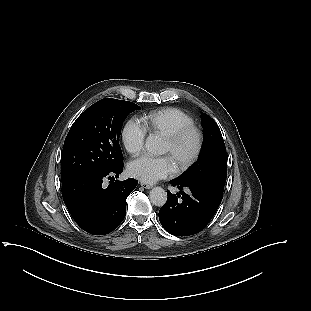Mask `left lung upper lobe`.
Masks as SVG:
<instances>
[{
  "label": "left lung upper lobe",
  "mask_w": 311,
  "mask_h": 311,
  "mask_svg": "<svg viewBox=\"0 0 311 311\" xmlns=\"http://www.w3.org/2000/svg\"><path fill=\"white\" fill-rule=\"evenodd\" d=\"M204 133L198 160L175 180L207 185L223 194L227 176L226 148L217 123L201 114Z\"/></svg>",
  "instance_id": "5c2ea615"
}]
</instances>
